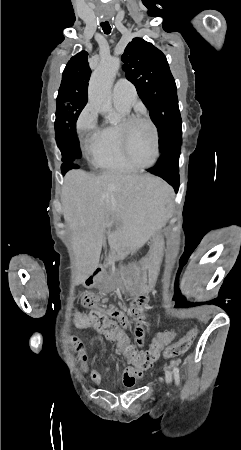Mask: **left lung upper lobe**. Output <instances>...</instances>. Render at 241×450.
<instances>
[{"instance_id": "left-lung-upper-lobe-1", "label": "left lung upper lobe", "mask_w": 241, "mask_h": 450, "mask_svg": "<svg viewBox=\"0 0 241 450\" xmlns=\"http://www.w3.org/2000/svg\"><path fill=\"white\" fill-rule=\"evenodd\" d=\"M123 70L150 111L159 133L160 153L179 141L182 120L175 80L165 55L151 43L134 38L122 55Z\"/></svg>"}]
</instances>
